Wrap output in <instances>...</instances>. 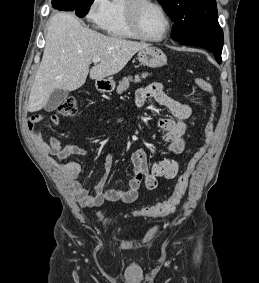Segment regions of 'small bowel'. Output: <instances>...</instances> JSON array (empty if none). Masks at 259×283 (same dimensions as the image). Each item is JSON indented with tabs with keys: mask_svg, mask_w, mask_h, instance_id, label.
<instances>
[{
	"mask_svg": "<svg viewBox=\"0 0 259 283\" xmlns=\"http://www.w3.org/2000/svg\"><path fill=\"white\" fill-rule=\"evenodd\" d=\"M151 98L158 104L165 106L173 115V118H159L156 124L163 131L162 140L166 144L167 152L171 157H177L185 148L184 134L186 121L192 113L191 107L169 96L158 83L140 88L136 94V105L143 107ZM48 118L53 124H59L57 115L51 114ZM44 119L45 115L43 114L31 116L27 123L28 131L47 160L63 175L78 201L85 207L101 206L106 201L132 203L136 200L142 184L146 189L154 190L159 178L173 179L178 175L179 164L175 159L165 158L149 168L146 152L142 148H138L131 155L134 173L127 188L104 189L113 168L112 157L107 154L105 173L94 187L93 192H90L79 179L82 170L81 164L75 161L65 162L70 156H87L88 150L76 145L63 148L60 140L55 137L51 138L49 142L45 141L38 132V125Z\"/></svg>",
	"mask_w": 259,
	"mask_h": 283,
	"instance_id": "obj_1",
	"label": "small bowel"
}]
</instances>
